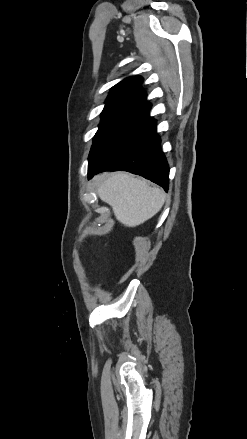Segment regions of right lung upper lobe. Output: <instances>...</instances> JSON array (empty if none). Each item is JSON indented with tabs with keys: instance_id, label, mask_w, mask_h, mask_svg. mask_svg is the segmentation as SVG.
<instances>
[{
	"instance_id": "right-lung-upper-lobe-1",
	"label": "right lung upper lobe",
	"mask_w": 247,
	"mask_h": 439,
	"mask_svg": "<svg viewBox=\"0 0 247 439\" xmlns=\"http://www.w3.org/2000/svg\"><path fill=\"white\" fill-rule=\"evenodd\" d=\"M141 77H130L112 87L106 105H120L125 108L149 112L151 104H146V92L141 88Z\"/></svg>"
}]
</instances>
